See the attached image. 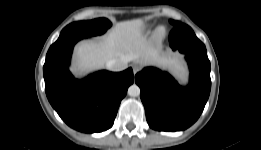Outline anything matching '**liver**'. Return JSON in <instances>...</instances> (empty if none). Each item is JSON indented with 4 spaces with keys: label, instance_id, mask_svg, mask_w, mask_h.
Returning a JSON list of instances; mask_svg holds the SVG:
<instances>
[{
    "label": "liver",
    "instance_id": "6515ba94",
    "mask_svg": "<svg viewBox=\"0 0 261 150\" xmlns=\"http://www.w3.org/2000/svg\"><path fill=\"white\" fill-rule=\"evenodd\" d=\"M143 22L139 19L119 22L98 41H82L74 53L73 70L78 74L95 71L109 60L127 57L129 61L158 63L178 68V57H159L158 50L148 45L141 35Z\"/></svg>",
    "mask_w": 261,
    "mask_h": 150
}]
</instances>
